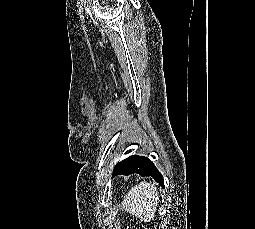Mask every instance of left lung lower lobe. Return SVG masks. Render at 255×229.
Wrapping results in <instances>:
<instances>
[{
    "mask_svg": "<svg viewBox=\"0 0 255 229\" xmlns=\"http://www.w3.org/2000/svg\"><path fill=\"white\" fill-rule=\"evenodd\" d=\"M137 173L141 176H151L164 187L163 176L157 170L153 162L143 156L133 155L118 163L114 169V175H129Z\"/></svg>",
    "mask_w": 255,
    "mask_h": 229,
    "instance_id": "1",
    "label": "left lung lower lobe"
}]
</instances>
